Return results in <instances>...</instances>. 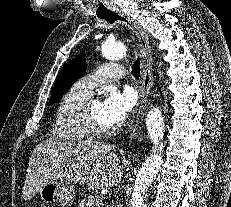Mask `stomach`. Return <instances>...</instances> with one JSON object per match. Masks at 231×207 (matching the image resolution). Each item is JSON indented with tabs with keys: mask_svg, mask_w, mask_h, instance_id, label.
<instances>
[{
	"mask_svg": "<svg viewBox=\"0 0 231 207\" xmlns=\"http://www.w3.org/2000/svg\"><path fill=\"white\" fill-rule=\"evenodd\" d=\"M40 199L46 205L59 202L64 207H71L75 200L74 186L66 180H51L44 184L39 192Z\"/></svg>",
	"mask_w": 231,
	"mask_h": 207,
	"instance_id": "1",
	"label": "stomach"
}]
</instances>
